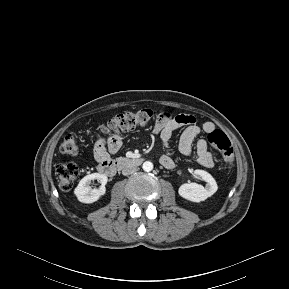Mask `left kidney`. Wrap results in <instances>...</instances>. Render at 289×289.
Returning a JSON list of instances; mask_svg holds the SVG:
<instances>
[{
    "label": "left kidney",
    "instance_id": "obj_1",
    "mask_svg": "<svg viewBox=\"0 0 289 289\" xmlns=\"http://www.w3.org/2000/svg\"><path fill=\"white\" fill-rule=\"evenodd\" d=\"M194 173L206 182V186L197 183L183 184L180 186L178 193L189 201L201 202L211 197L217 191L218 186L215 179L207 171L196 169Z\"/></svg>",
    "mask_w": 289,
    "mask_h": 289
}]
</instances>
